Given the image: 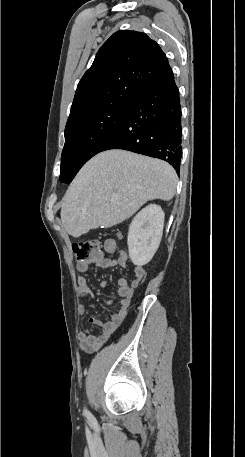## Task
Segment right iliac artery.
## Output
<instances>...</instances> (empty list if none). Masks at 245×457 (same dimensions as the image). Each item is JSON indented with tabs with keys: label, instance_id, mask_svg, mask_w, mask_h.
<instances>
[{
	"label": "right iliac artery",
	"instance_id": "obj_1",
	"mask_svg": "<svg viewBox=\"0 0 245 457\" xmlns=\"http://www.w3.org/2000/svg\"><path fill=\"white\" fill-rule=\"evenodd\" d=\"M84 414L91 420V422L94 424L95 422L93 421V417L91 416V414L89 413V411H87L86 409L84 410Z\"/></svg>",
	"mask_w": 245,
	"mask_h": 457
}]
</instances>
